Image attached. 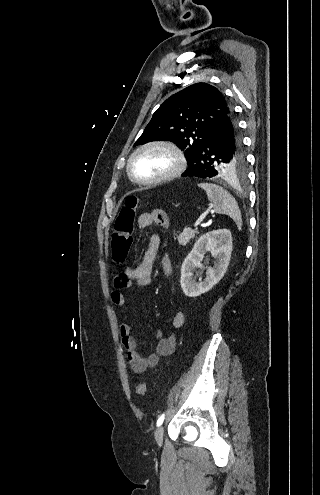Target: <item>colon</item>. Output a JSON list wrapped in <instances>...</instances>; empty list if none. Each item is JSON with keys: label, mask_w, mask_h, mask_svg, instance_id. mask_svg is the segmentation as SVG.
<instances>
[{"label": "colon", "mask_w": 320, "mask_h": 495, "mask_svg": "<svg viewBox=\"0 0 320 495\" xmlns=\"http://www.w3.org/2000/svg\"><path fill=\"white\" fill-rule=\"evenodd\" d=\"M137 206V197H127L116 218L115 227L111 237V254L114 263L117 265H122L126 262L132 247L133 221ZM136 393L141 396L147 393V384L145 381H140L136 385Z\"/></svg>", "instance_id": "5ec220e1"}]
</instances>
